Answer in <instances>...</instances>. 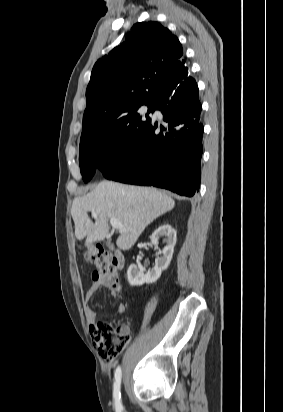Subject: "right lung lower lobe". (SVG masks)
<instances>
[{
    "label": "right lung lower lobe",
    "mask_w": 283,
    "mask_h": 412,
    "mask_svg": "<svg viewBox=\"0 0 283 412\" xmlns=\"http://www.w3.org/2000/svg\"><path fill=\"white\" fill-rule=\"evenodd\" d=\"M155 105L165 125L151 120L123 157L100 170L107 179L193 196L200 186L204 131L196 81L189 76L173 84Z\"/></svg>",
    "instance_id": "right-lung-lower-lobe-1"
}]
</instances>
